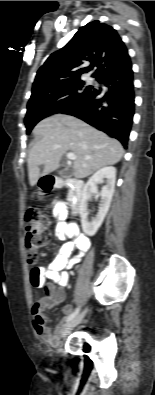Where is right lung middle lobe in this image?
Segmentation results:
<instances>
[{
  "label": "right lung middle lobe",
  "mask_w": 155,
  "mask_h": 395,
  "mask_svg": "<svg viewBox=\"0 0 155 395\" xmlns=\"http://www.w3.org/2000/svg\"><path fill=\"white\" fill-rule=\"evenodd\" d=\"M93 91V86L86 85L84 81L77 79L47 86L32 95L25 117L27 134L43 118L63 112Z\"/></svg>",
  "instance_id": "obj_1"
}]
</instances>
